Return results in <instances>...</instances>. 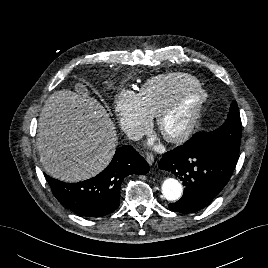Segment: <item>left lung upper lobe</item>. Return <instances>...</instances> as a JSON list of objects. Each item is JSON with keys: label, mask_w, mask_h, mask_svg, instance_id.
<instances>
[{"label": "left lung upper lobe", "mask_w": 268, "mask_h": 268, "mask_svg": "<svg viewBox=\"0 0 268 268\" xmlns=\"http://www.w3.org/2000/svg\"><path fill=\"white\" fill-rule=\"evenodd\" d=\"M242 133V124L237 103L231 104L228 117L224 124L215 131L198 132L185 145L191 148L216 151L238 159Z\"/></svg>", "instance_id": "obj_1"}]
</instances>
